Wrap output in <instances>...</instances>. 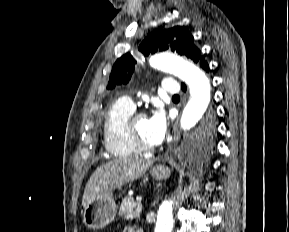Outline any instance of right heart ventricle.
I'll list each match as a JSON object with an SVG mask.
<instances>
[{"label":"right heart ventricle","instance_id":"right-heart-ventricle-1","mask_svg":"<svg viewBox=\"0 0 289 232\" xmlns=\"http://www.w3.org/2000/svg\"><path fill=\"white\" fill-rule=\"evenodd\" d=\"M133 111L134 108L124 99H118L105 112L102 125L103 143L112 157L129 158L138 153L125 131L126 121Z\"/></svg>","mask_w":289,"mask_h":232}]
</instances>
